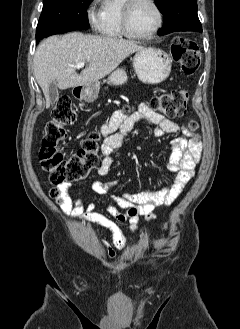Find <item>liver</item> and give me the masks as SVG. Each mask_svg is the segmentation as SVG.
Returning <instances> with one entry per match:
<instances>
[{
    "mask_svg": "<svg viewBox=\"0 0 240 329\" xmlns=\"http://www.w3.org/2000/svg\"><path fill=\"white\" fill-rule=\"evenodd\" d=\"M143 47L133 40L84 35L79 32L51 36L37 47L33 68L46 106H50L48 89L57 81L60 89L84 86L110 74L126 57ZM87 63L80 74L74 67Z\"/></svg>",
    "mask_w": 240,
    "mask_h": 329,
    "instance_id": "1",
    "label": "liver"
}]
</instances>
